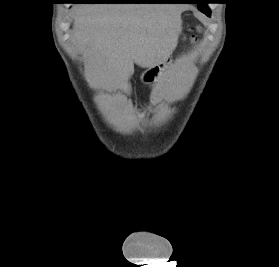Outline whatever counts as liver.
<instances>
[{
  "label": "liver",
  "instance_id": "liver-1",
  "mask_svg": "<svg viewBox=\"0 0 279 267\" xmlns=\"http://www.w3.org/2000/svg\"><path fill=\"white\" fill-rule=\"evenodd\" d=\"M183 8L159 3L88 5L77 11L73 41L107 90L125 86L134 63L150 68L177 45Z\"/></svg>",
  "mask_w": 279,
  "mask_h": 267
}]
</instances>
